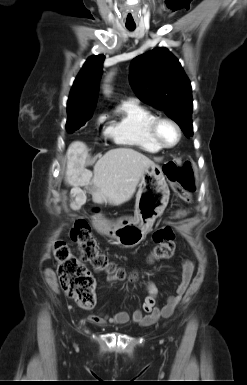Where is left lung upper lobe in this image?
Here are the masks:
<instances>
[{
    "mask_svg": "<svg viewBox=\"0 0 247 385\" xmlns=\"http://www.w3.org/2000/svg\"><path fill=\"white\" fill-rule=\"evenodd\" d=\"M130 83L143 102L163 110L186 137L193 135L191 85L171 52L156 48L136 57L131 64Z\"/></svg>",
    "mask_w": 247,
    "mask_h": 385,
    "instance_id": "1",
    "label": "left lung upper lobe"
}]
</instances>
